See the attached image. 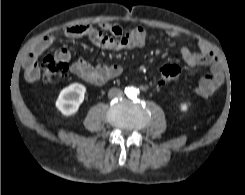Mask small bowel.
<instances>
[{"label": "small bowel", "instance_id": "1", "mask_svg": "<svg viewBox=\"0 0 245 195\" xmlns=\"http://www.w3.org/2000/svg\"><path fill=\"white\" fill-rule=\"evenodd\" d=\"M61 34L70 38L87 36L95 45L117 51L142 48L147 41V34L143 28L136 27L124 31L120 25L115 23L72 25L63 29ZM168 35L172 38L178 37V33L174 30H170ZM55 39L56 35L44 36L32 46L24 57L25 78L29 82H34L38 79L39 69L36 65V60L52 45ZM197 45L198 52H192L187 46H182L180 53L182 59L190 68L198 66H208L210 68V75L203 77L195 88V93L198 96L208 98L223 84L224 73L218 58L209 46L203 41H198ZM56 57L68 61L70 53L67 49L60 48L56 52ZM70 71L88 83L101 85L119 76L122 72V67L119 64H98L93 66L84 58L77 57L72 63Z\"/></svg>", "mask_w": 245, "mask_h": 195}]
</instances>
